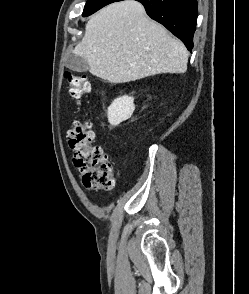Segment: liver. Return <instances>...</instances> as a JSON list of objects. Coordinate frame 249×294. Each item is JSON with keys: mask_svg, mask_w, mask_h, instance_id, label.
Returning <instances> with one entry per match:
<instances>
[{"mask_svg": "<svg viewBox=\"0 0 249 294\" xmlns=\"http://www.w3.org/2000/svg\"><path fill=\"white\" fill-rule=\"evenodd\" d=\"M74 54L90 73L110 83H126L161 73L187 70L184 44L149 19L135 0L112 3L93 15Z\"/></svg>", "mask_w": 249, "mask_h": 294, "instance_id": "6515ba94", "label": "liver"}]
</instances>
